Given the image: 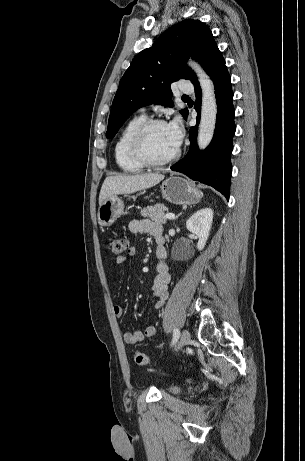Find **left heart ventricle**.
<instances>
[{"instance_id": "obj_1", "label": "left heart ventricle", "mask_w": 305, "mask_h": 461, "mask_svg": "<svg viewBox=\"0 0 305 461\" xmlns=\"http://www.w3.org/2000/svg\"><path fill=\"white\" fill-rule=\"evenodd\" d=\"M177 147L170 139L167 125H157L150 129L145 139V152L153 160L171 156Z\"/></svg>"}]
</instances>
